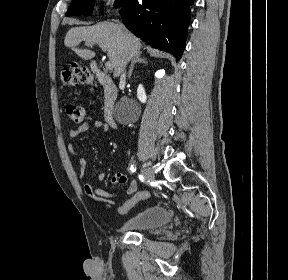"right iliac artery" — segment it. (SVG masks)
<instances>
[{
    "instance_id": "right-iliac-artery-1",
    "label": "right iliac artery",
    "mask_w": 288,
    "mask_h": 280,
    "mask_svg": "<svg viewBox=\"0 0 288 280\" xmlns=\"http://www.w3.org/2000/svg\"><path fill=\"white\" fill-rule=\"evenodd\" d=\"M130 170H131V172H135L136 171V167L134 165H131Z\"/></svg>"
}]
</instances>
